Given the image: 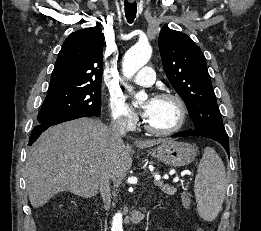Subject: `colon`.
I'll return each mask as SVG.
<instances>
[{"mask_svg":"<svg viewBox=\"0 0 261 231\" xmlns=\"http://www.w3.org/2000/svg\"><path fill=\"white\" fill-rule=\"evenodd\" d=\"M197 231H204V229H202V228H198Z\"/></svg>","mask_w":261,"mask_h":231,"instance_id":"1","label":"colon"}]
</instances>
